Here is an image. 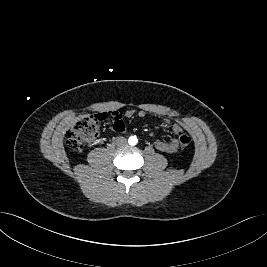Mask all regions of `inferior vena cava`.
Segmentation results:
<instances>
[{
	"label": "inferior vena cava",
	"instance_id": "inferior-vena-cava-1",
	"mask_svg": "<svg viewBox=\"0 0 267 267\" xmlns=\"http://www.w3.org/2000/svg\"><path fill=\"white\" fill-rule=\"evenodd\" d=\"M116 142L118 145H124L126 144L127 140L124 137H117Z\"/></svg>",
	"mask_w": 267,
	"mask_h": 267
}]
</instances>
